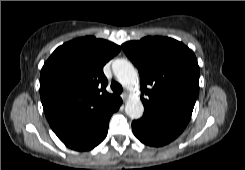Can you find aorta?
Returning <instances> with one entry per match:
<instances>
[{
    "mask_svg": "<svg viewBox=\"0 0 245 170\" xmlns=\"http://www.w3.org/2000/svg\"><path fill=\"white\" fill-rule=\"evenodd\" d=\"M113 73L118 82L125 88L132 90L137 86V72L129 61L117 59L112 64ZM125 112L132 119H139L144 112V106L138 96H130L125 104Z\"/></svg>",
    "mask_w": 245,
    "mask_h": 170,
    "instance_id": "aorta-1",
    "label": "aorta"
}]
</instances>
